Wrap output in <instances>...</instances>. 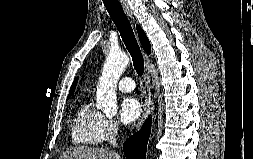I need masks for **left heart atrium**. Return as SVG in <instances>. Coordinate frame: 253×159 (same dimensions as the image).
I'll use <instances>...</instances> for the list:
<instances>
[{"label":"left heart atrium","mask_w":253,"mask_h":159,"mask_svg":"<svg viewBox=\"0 0 253 159\" xmlns=\"http://www.w3.org/2000/svg\"><path fill=\"white\" fill-rule=\"evenodd\" d=\"M142 114V106L135 97H126L122 100L119 109L120 120L125 125L135 124Z\"/></svg>","instance_id":"obj_1"}]
</instances>
